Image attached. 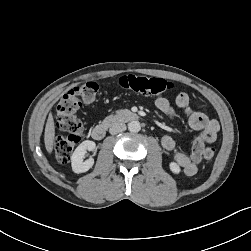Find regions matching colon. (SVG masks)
<instances>
[{
	"label": "colon",
	"mask_w": 251,
	"mask_h": 251,
	"mask_svg": "<svg viewBox=\"0 0 251 251\" xmlns=\"http://www.w3.org/2000/svg\"><path fill=\"white\" fill-rule=\"evenodd\" d=\"M122 89L143 95H159L173 89V83L156 77L125 75L118 80ZM99 87L95 82L78 84L69 89L56 106V122L64 134L57 137L55 142V157L60 163L69 162L72 152L81 140L83 125L77 116L78 110L93 103ZM216 148L207 147L203 151L206 161H212Z\"/></svg>",
	"instance_id": "1"
}]
</instances>
